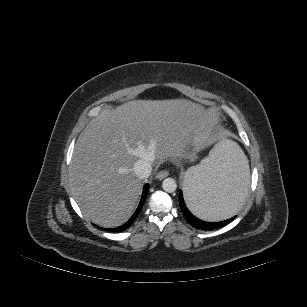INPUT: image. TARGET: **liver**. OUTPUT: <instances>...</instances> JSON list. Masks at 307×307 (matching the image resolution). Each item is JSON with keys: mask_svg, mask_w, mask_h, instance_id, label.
Masks as SVG:
<instances>
[{"mask_svg": "<svg viewBox=\"0 0 307 307\" xmlns=\"http://www.w3.org/2000/svg\"><path fill=\"white\" fill-rule=\"evenodd\" d=\"M214 124L210 110L185 99L132 100L101 113L70 164L71 191L85 217L106 228L125 223L143 185L134 163L183 158L190 144H206Z\"/></svg>", "mask_w": 307, "mask_h": 307, "instance_id": "6515ba94", "label": "liver"}]
</instances>
